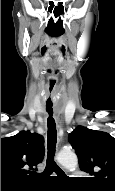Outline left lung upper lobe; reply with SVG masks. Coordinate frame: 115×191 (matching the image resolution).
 I'll use <instances>...</instances> for the list:
<instances>
[{
	"mask_svg": "<svg viewBox=\"0 0 115 191\" xmlns=\"http://www.w3.org/2000/svg\"><path fill=\"white\" fill-rule=\"evenodd\" d=\"M85 181L101 191H115V139L108 133L78 126L68 136Z\"/></svg>",
	"mask_w": 115,
	"mask_h": 191,
	"instance_id": "obj_1",
	"label": "left lung upper lobe"
}]
</instances>
